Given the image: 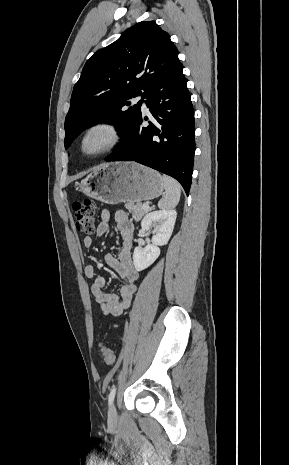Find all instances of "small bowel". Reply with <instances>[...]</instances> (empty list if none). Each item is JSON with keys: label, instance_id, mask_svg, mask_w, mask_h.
<instances>
[{"label": "small bowel", "instance_id": "obj_1", "mask_svg": "<svg viewBox=\"0 0 289 465\" xmlns=\"http://www.w3.org/2000/svg\"><path fill=\"white\" fill-rule=\"evenodd\" d=\"M110 212L102 210L100 214V222L96 228V235H104L110 225ZM117 229L120 232L122 243L119 253L115 256L107 254L105 261L122 280V286L118 294H111L105 291V279L96 273L92 265H87L84 268L85 276L92 281L91 294L94 300L98 303L99 310L105 315L119 316L129 306L132 295L136 291L139 273L136 270L132 261V247L134 227L129 221L127 214L124 211H117L114 216ZM93 238L86 236L83 239V247L91 248Z\"/></svg>", "mask_w": 289, "mask_h": 465}]
</instances>
